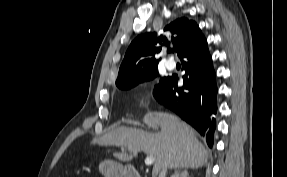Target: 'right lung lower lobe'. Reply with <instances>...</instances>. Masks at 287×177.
Returning <instances> with one entry per match:
<instances>
[{
  "label": "right lung lower lobe",
  "instance_id": "1",
  "mask_svg": "<svg viewBox=\"0 0 287 177\" xmlns=\"http://www.w3.org/2000/svg\"><path fill=\"white\" fill-rule=\"evenodd\" d=\"M185 75L182 87L177 86L178 76L165 77L154 88L155 98L177 113L206 138L209 147L214 142L217 111L216 75L201 31L185 45L180 55Z\"/></svg>",
  "mask_w": 287,
  "mask_h": 177
}]
</instances>
